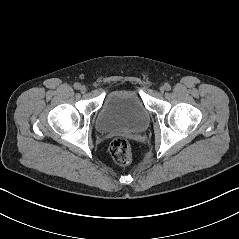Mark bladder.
<instances>
[{
	"label": "bladder",
	"mask_w": 239,
	"mask_h": 239,
	"mask_svg": "<svg viewBox=\"0 0 239 239\" xmlns=\"http://www.w3.org/2000/svg\"><path fill=\"white\" fill-rule=\"evenodd\" d=\"M150 121V113L140 93L136 89H118L106 94L95 126L101 133L139 134L148 129Z\"/></svg>",
	"instance_id": "bladder-1"
}]
</instances>
